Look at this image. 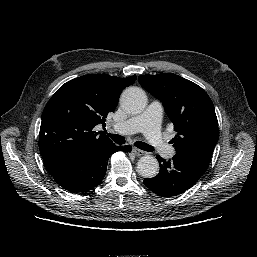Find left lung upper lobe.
<instances>
[{"instance_id":"1","label":"left lung upper lobe","mask_w":257,"mask_h":257,"mask_svg":"<svg viewBox=\"0 0 257 257\" xmlns=\"http://www.w3.org/2000/svg\"><path fill=\"white\" fill-rule=\"evenodd\" d=\"M138 81L163 103L177 132L172 139L176 153L207 168L218 141V121L207 93L172 73L141 75Z\"/></svg>"}]
</instances>
